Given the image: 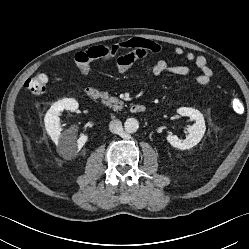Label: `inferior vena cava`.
<instances>
[{
    "label": "inferior vena cava",
    "mask_w": 249,
    "mask_h": 249,
    "mask_svg": "<svg viewBox=\"0 0 249 249\" xmlns=\"http://www.w3.org/2000/svg\"><path fill=\"white\" fill-rule=\"evenodd\" d=\"M109 130L114 134L120 133L122 131V123H121V121L118 120V119L112 120L109 123Z\"/></svg>",
    "instance_id": "obj_1"
}]
</instances>
